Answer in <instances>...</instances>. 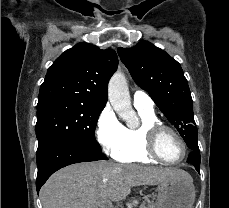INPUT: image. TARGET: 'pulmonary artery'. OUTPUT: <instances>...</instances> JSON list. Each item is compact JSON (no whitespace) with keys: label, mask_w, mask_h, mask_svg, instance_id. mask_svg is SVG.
<instances>
[{"label":"pulmonary artery","mask_w":229,"mask_h":208,"mask_svg":"<svg viewBox=\"0 0 229 208\" xmlns=\"http://www.w3.org/2000/svg\"><path fill=\"white\" fill-rule=\"evenodd\" d=\"M133 104L137 109L154 110L152 99L145 92L140 90L134 93Z\"/></svg>","instance_id":"pulmonary-artery-1"}]
</instances>
